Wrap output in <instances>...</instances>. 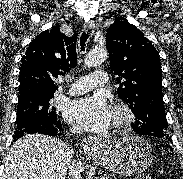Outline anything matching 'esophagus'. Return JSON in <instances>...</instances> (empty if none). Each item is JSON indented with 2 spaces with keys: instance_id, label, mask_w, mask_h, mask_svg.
<instances>
[{
  "instance_id": "esophagus-1",
  "label": "esophagus",
  "mask_w": 183,
  "mask_h": 179,
  "mask_svg": "<svg viewBox=\"0 0 183 179\" xmlns=\"http://www.w3.org/2000/svg\"><path fill=\"white\" fill-rule=\"evenodd\" d=\"M94 27H95V24L93 21H89L84 24V28L88 31L93 29ZM108 144H109L108 140H104L98 137H91L84 140L83 147L85 151L89 154H98Z\"/></svg>"
}]
</instances>
